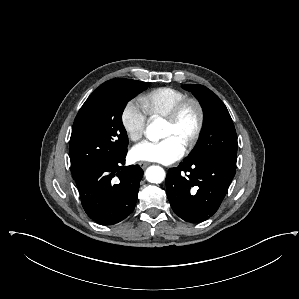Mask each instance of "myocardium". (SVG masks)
<instances>
[{
    "instance_id": "myocardium-1",
    "label": "myocardium",
    "mask_w": 299,
    "mask_h": 299,
    "mask_svg": "<svg viewBox=\"0 0 299 299\" xmlns=\"http://www.w3.org/2000/svg\"><path fill=\"white\" fill-rule=\"evenodd\" d=\"M189 106H194L198 113L197 125L192 137L185 144V149L187 151L191 150L195 147V145L200 140V137L203 132L204 124H205V111L201 102L195 97L186 96L182 100H180L171 110V112L165 117V120L170 124H177L185 110Z\"/></svg>"
}]
</instances>
